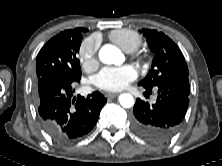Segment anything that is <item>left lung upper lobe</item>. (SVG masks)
Listing matches in <instances>:
<instances>
[{"label":"left lung upper lobe","mask_w":222,"mask_h":166,"mask_svg":"<svg viewBox=\"0 0 222 166\" xmlns=\"http://www.w3.org/2000/svg\"><path fill=\"white\" fill-rule=\"evenodd\" d=\"M141 32L155 56L151 70L138 85L153 88L167 79L188 80V67L179 47L162 32L151 29H143Z\"/></svg>","instance_id":"5c2ea615"}]
</instances>
